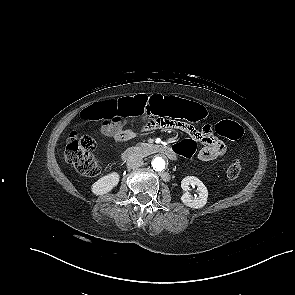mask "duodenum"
Returning <instances> with one entry per match:
<instances>
[{
  "instance_id": "obj_1",
  "label": "duodenum",
  "mask_w": 295,
  "mask_h": 295,
  "mask_svg": "<svg viewBox=\"0 0 295 295\" xmlns=\"http://www.w3.org/2000/svg\"><path fill=\"white\" fill-rule=\"evenodd\" d=\"M149 153H161L171 160H175L177 158L176 151L168 145L146 144V145L131 147L125 150L122 154V160L128 161L130 159L141 157Z\"/></svg>"
}]
</instances>
